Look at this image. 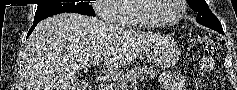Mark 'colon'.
Listing matches in <instances>:
<instances>
[{"mask_svg":"<svg viewBox=\"0 0 237 90\" xmlns=\"http://www.w3.org/2000/svg\"><path fill=\"white\" fill-rule=\"evenodd\" d=\"M202 41H203V44H205L206 46L211 47L212 45H214V42L206 36L202 38Z\"/></svg>","mask_w":237,"mask_h":90,"instance_id":"5ec220e1","label":"colon"}]
</instances>
